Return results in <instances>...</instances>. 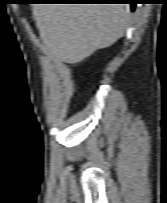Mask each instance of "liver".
I'll use <instances>...</instances> for the list:
<instances>
[{
  "label": "liver",
  "mask_w": 167,
  "mask_h": 203,
  "mask_svg": "<svg viewBox=\"0 0 167 203\" xmlns=\"http://www.w3.org/2000/svg\"><path fill=\"white\" fill-rule=\"evenodd\" d=\"M33 14L47 50L69 64L111 46L129 24L122 4H35Z\"/></svg>",
  "instance_id": "liver-1"
}]
</instances>
